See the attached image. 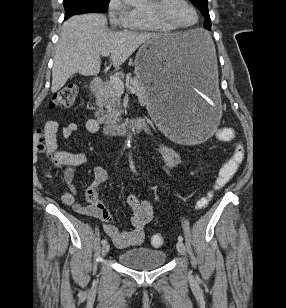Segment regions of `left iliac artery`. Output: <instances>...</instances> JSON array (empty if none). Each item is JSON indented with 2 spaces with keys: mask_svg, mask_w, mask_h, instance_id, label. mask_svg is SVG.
I'll use <instances>...</instances> for the list:
<instances>
[{
  "mask_svg": "<svg viewBox=\"0 0 286 308\" xmlns=\"http://www.w3.org/2000/svg\"><path fill=\"white\" fill-rule=\"evenodd\" d=\"M130 167H131L132 171H133L134 173L137 174V171H136V169H135V166H134V164H133V161H132V159H131V156H130ZM178 240H179V241H183V237H182L181 235H179V236H178Z\"/></svg>",
  "mask_w": 286,
  "mask_h": 308,
  "instance_id": "left-iliac-artery-1",
  "label": "left iliac artery"
}]
</instances>
